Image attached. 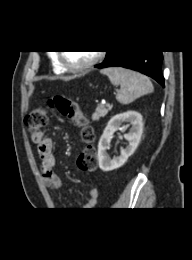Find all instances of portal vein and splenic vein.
Here are the masks:
<instances>
[{
	"mask_svg": "<svg viewBox=\"0 0 192 260\" xmlns=\"http://www.w3.org/2000/svg\"><path fill=\"white\" fill-rule=\"evenodd\" d=\"M107 106H110V104H109V103H107Z\"/></svg>",
	"mask_w": 192,
	"mask_h": 260,
	"instance_id": "obj_1",
	"label": "portal vein and splenic vein"
}]
</instances>
